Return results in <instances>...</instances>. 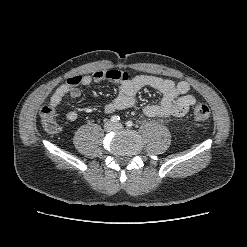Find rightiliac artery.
Segmentation results:
<instances>
[{
	"instance_id": "obj_1",
	"label": "right iliac artery",
	"mask_w": 247,
	"mask_h": 247,
	"mask_svg": "<svg viewBox=\"0 0 247 247\" xmlns=\"http://www.w3.org/2000/svg\"><path fill=\"white\" fill-rule=\"evenodd\" d=\"M110 120H111L112 122L116 123V122H118V121L120 120V117L117 116V115H113V116H111Z\"/></svg>"
}]
</instances>
